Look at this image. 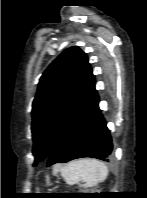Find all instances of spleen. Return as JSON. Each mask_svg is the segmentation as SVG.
<instances>
[{"label":"spleen","instance_id":"3e777b00","mask_svg":"<svg viewBox=\"0 0 147 198\" xmlns=\"http://www.w3.org/2000/svg\"><path fill=\"white\" fill-rule=\"evenodd\" d=\"M61 176L68 185L79 184L81 187H94L103 182L108 175L105 163L96 159H79L60 168ZM84 184H80V182Z\"/></svg>","mask_w":147,"mask_h":198}]
</instances>
